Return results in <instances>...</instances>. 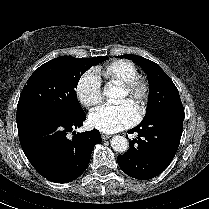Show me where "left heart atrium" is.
I'll use <instances>...</instances> for the list:
<instances>
[{"label":"left heart atrium","instance_id":"left-heart-atrium-1","mask_svg":"<svg viewBox=\"0 0 209 209\" xmlns=\"http://www.w3.org/2000/svg\"><path fill=\"white\" fill-rule=\"evenodd\" d=\"M138 118L137 110L128 102L106 104L89 115V124L104 133H114L132 126Z\"/></svg>","mask_w":209,"mask_h":209}]
</instances>
